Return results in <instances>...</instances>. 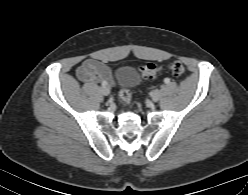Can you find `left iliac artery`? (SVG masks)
Instances as JSON below:
<instances>
[{"label":"left iliac artery","instance_id":"obj_1","mask_svg":"<svg viewBox=\"0 0 248 195\" xmlns=\"http://www.w3.org/2000/svg\"><path fill=\"white\" fill-rule=\"evenodd\" d=\"M164 82H165L166 84H168V83L170 82V80H169L168 78H166V79L164 80Z\"/></svg>","mask_w":248,"mask_h":195}]
</instances>
